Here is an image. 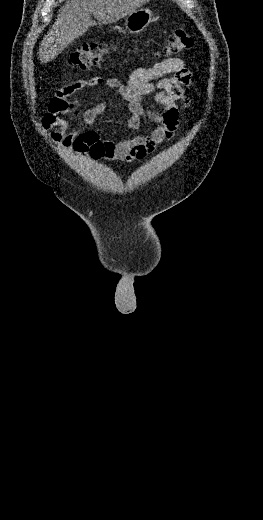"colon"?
Wrapping results in <instances>:
<instances>
[{
  "label": "colon",
  "mask_w": 263,
  "mask_h": 520,
  "mask_svg": "<svg viewBox=\"0 0 263 520\" xmlns=\"http://www.w3.org/2000/svg\"><path fill=\"white\" fill-rule=\"evenodd\" d=\"M193 45L192 35L184 28L177 29L168 38L163 53L166 56L179 54ZM108 46L101 43H86L75 49L68 57V64L78 69H88L103 61Z\"/></svg>",
  "instance_id": "1"
}]
</instances>
